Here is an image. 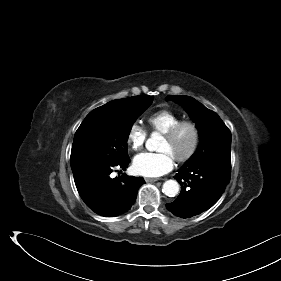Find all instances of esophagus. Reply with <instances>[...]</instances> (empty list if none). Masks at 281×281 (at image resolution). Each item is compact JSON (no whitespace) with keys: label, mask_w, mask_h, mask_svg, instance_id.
Wrapping results in <instances>:
<instances>
[{"label":"esophagus","mask_w":281,"mask_h":281,"mask_svg":"<svg viewBox=\"0 0 281 281\" xmlns=\"http://www.w3.org/2000/svg\"><path fill=\"white\" fill-rule=\"evenodd\" d=\"M158 180H160V179L159 178H145L146 182H156Z\"/></svg>","instance_id":"obj_1"}]
</instances>
